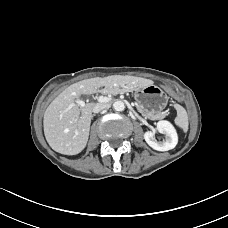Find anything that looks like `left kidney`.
<instances>
[{
	"label": "left kidney",
	"instance_id": "5707ae66",
	"mask_svg": "<svg viewBox=\"0 0 228 228\" xmlns=\"http://www.w3.org/2000/svg\"><path fill=\"white\" fill-rule=\"evenodd\" d=\"M157 131L165 135V140L163 142L155 140V132L147 131L144 134V139L146 143L157 151H168L174 149L178 143V136L173 125L165 120L159 121L157 123Z\"/></svg>",
	"mask_w": 228,
	"mask_h": 228
}]
</instances>
